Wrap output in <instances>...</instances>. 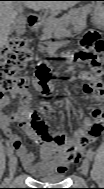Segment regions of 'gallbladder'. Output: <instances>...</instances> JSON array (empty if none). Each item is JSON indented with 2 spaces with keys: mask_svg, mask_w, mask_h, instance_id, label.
<instances>
[{
  "mask_svg": "<svg viewBox=\"0 0 104 189\" xmlns=\"http://www.w3.org/2000/svg\"><path fill=\"white\" fill-rule=\"evenodd\" d=\"M25 7L26 6L21 2L14 3V8L19 13V16L16 18V20L12 25H13V29L16 30L18 34H23L25 32L26 22H25V16L22 14Z\"/></svg>",
  "mask_w": 104,
  "mask_h": 189,
  "instance_id": "gallbladder-1",
  "label": "gallbladder"
}]
</instances>
